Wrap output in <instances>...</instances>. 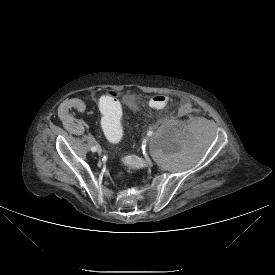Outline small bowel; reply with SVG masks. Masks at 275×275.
Segmentation results:
<instances>
[{"instance_id": "1", "label": "small bowel", "mask_w": 275, "mask_h": 275, "mask_svg": "<svg viewBox=\"0 0 275 275\" xmlns=\"http://www.w3.org/2000/svg\"><path fill=\"white\" fill-rule=\"evenodd\" d=\"M83 111L84 105L79 99L65 100L60 104L57 115L73 134L81 135L84 131V124L73 115Z\"/></svg>"}]
</instances>
